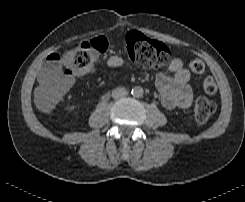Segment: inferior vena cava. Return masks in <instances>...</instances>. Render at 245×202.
Masks as SVG:
<instances>
[{"label": "inferior vena cava", "instance_id": "602c4592", "mask_svg": "<svg viewBox=\"0 0 245 202\" xmlns=\"http://www.w3.org/2000/svg\"><path fill=\"white\" fill-rule=\"evenodd\" d=\"M127 95H128L127 90L125 88H122V87L115 88L112 91V97L115 99L122 98V97H125Z\"/></svg>", "mask_w": 245, "mask_h": 202}]
</instances>
